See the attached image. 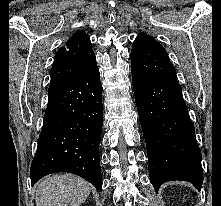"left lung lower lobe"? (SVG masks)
Returning a JSON list of instances; mask_svg holds the SVG:
<instances>
[{"instance_id":"1","label":"left lung lower lobe","mask_w":221,"mask_h":206,"mask_svg":"<svg viewBox=\"0 0 221 206\" xmlns=\"http://www.w3.org/2000/svg\"><path fill=\"white\" fill-rule=\"evenodd\" d=\"M132 82L152 185L185 180L200 190L202 157L179 83L134 72Z\"/></svg>"}]
</instances>
